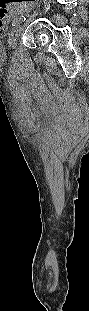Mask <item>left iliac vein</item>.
Segmentation results:
<instances>
[{
	"label": "left iliac vein",
	"mask_w": 89,
	"mask_h": 311,
	"mask_svg": "<svg viewBox=\"0 0 89 311\" xmlns=\"http://www.w3.org/2000/svg\"><path fill=\"white\" fill-rule=\"evenodd\" d=\"M21 32H22L21 26H17L11 31V34L9 36V47L10 48L13 49L16 47Z\"/></svg>",
	"instance_id": "obj_1"
}]
</instances>
